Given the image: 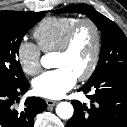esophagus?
Instances as JSON below:
<instances>
[{
    "label": "esophagus",
    "mask_w": 127,
    "mask_h": 127,
    "mask_svg": "<svg viewBox=\"0 0 127 127\" xmlns=\"http://www.w3.org/2000/svg\"><path fill=\"white\" fill-rule=\"evenodd\" d=\"M46 103L48 105V107H52L55 106L57 104V101H53V100H46Z\"/></svg>",
    "instance_id": "obj_1"
}]
</instances>
